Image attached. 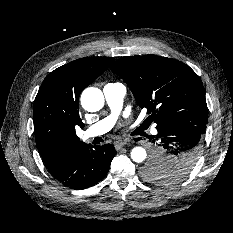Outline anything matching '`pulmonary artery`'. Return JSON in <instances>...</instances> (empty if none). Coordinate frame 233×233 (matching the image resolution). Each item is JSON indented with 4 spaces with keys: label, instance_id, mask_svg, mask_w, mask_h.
I'll return each instance as SVG.
<instances>
[{
    "label": "pulmonary artery",
    "instance_id": "obj_1",
    "mask_svg": "<svg viewBox=\"0 0 233 233\" xmlns=\"http://www.w3.org/2000/svg\"><path fill=\"white\" fill-rule=\"evenodd\" d=\"M103 94L111 113L109 116L87 128L84 131L85 138L103 135L114 126L118 114L122 109L126 88L121 83H108L103 88ZM152 132L156 133L157 130L153 129Z\"/></svg>",
    "mask_w": 233,
    "mask_h": 233
}]
</instances>
